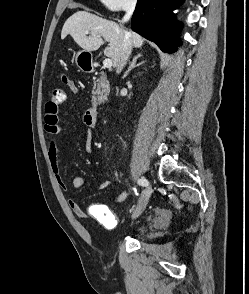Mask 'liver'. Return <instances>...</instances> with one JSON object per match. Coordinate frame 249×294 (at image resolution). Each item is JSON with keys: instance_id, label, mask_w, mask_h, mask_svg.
Listing matches in <instances>:
<instances>
[{"instance_id": "obj_1", "label": "liver", "mask_w": 249, "mask_h": 294, "mask_svg": "<svg viewBox=\"0 0 249 294\" xmlns=\"http://www.w3.org/2000/svg\"><path fill=\"white\" fill-rule=\"evenodd\" d=\"M125 33L128 34L132 46L142 47L144 39L137 33L126 32L117 23L87 11H77L64 23L61 38L64 39L67 35H71L85 51L98 50L104 39L108 42L104 54L111 57L113 65L116 66Z\"/></svg>"}]
</instances>
